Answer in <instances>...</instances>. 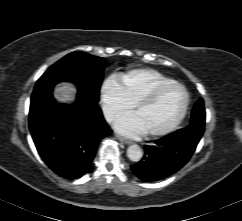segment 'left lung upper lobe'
Wrapping results in <instances>:
<instances>
[{
    "instance_id": "left-lung-upper-lobe-1",
    "label": "left lung upper lobe",
    "mask_w": 242,
    "mask_h": 221,
    "mask_svg": "<svg viewBox=\"0 0 242 221\" xmlns=\"http://www.w3.org/2000/svg\"><path fill=\"white\" fill-rule=\"evenodd\" d=\"M204 125H205L204 101L203 99H199L193 108L190 124L187 126V128H194L196 130L204 132Z\"/></svg>"
}]
</instances>
